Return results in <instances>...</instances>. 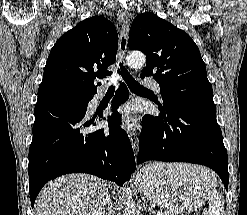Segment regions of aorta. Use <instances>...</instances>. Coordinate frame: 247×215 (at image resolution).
<instances>
[{
	"mask_svg": "<svg viewBox=\"0 0 247 215\" xmlns=\"http://www.w3.org/2000/svg\"><path fill=\"white\" fill-rule=\"evenodd\" d=\"M146 61L145 55L141 52H132L127 56V63L132 68H141ZM128 192L129 188H125ZM136 207L135 204L130 201V199L126 202V207L123 215H136Z\"/></svg>",
	"mask_w": 247,
	"mask_h": 215,
	"instance_id": "obj_1",
	"label": "aorta"
}]
</instances>
